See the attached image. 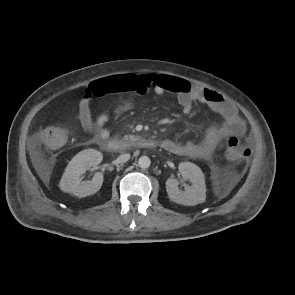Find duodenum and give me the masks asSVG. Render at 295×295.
Returning a JSON list of instances; mask_svg holds the SVG:
<instances>
[{
    "mask_svg": "<svg viewBox=\"0 0 295 295\" xmlns=\"http://www.w3.org/2000/svg\"><path fill=\"white\" fill-rule=\"evenodd\" d=\"M99 146L106 152H117L133 146L151 149L155 148L157 143L152 139H141L138 141L102 140L99 141Z\"/></svg>",
    "mask_w": 295,
    "mask_h": 295,
    "instance_id": "410a0bca",
    "label": "duodenum"
}]
</instances>
